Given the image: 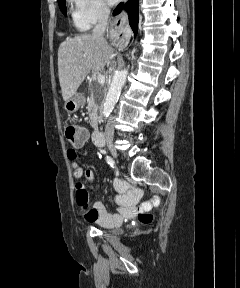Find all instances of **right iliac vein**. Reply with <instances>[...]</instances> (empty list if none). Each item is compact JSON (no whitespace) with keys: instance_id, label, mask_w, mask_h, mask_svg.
Segmentation results:
<instances>
[{"instance_id":"1","label":"right iliac vein","mask_w":240,"mask_h":288,"mask_svg":"<svg viewBox=\"0 0 240 288\" xmlns=\"http://www.w3.org/2000/svg\"><path fill=\"white\" fill-rule=\"evenodd\" d=\"M109 151L111 152L112 156L117 159L118 158V153L117 150L115 149L114 146L110 145L108 146Z\"/></svg>"}]
</instances>
